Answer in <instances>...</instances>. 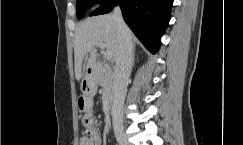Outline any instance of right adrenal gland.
I'll list each match as a JSON object with an SVG mask.
<instances>
[{"mask_svg": "<svg viewBox=\"0 0 243 145\" xmlns=\"http://www.w3.org/2000/svg\"><path fill=\"white\" fill-rule=\"evenodd\" d=\"M134 61H135V45L133 46V49H132V62H133V65H134Z\"/></svg>", "mask_w": 243, "mask_h": 145, "instance_id": "right-adrenal-gland-1", "label": "right adrenal gland"}]
</instances>
